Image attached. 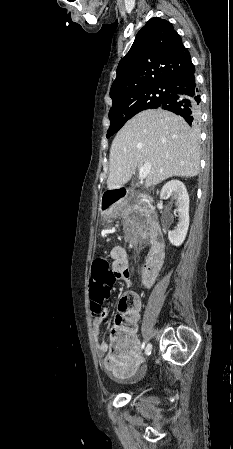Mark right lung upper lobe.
<instances>
[{
  "label": "right lung upper lobe",
  "mask_w": 233,
  "mask_h": 449,
  "mask_svg": "<svg viewBox=\"0 0 233 449\" xmlns=\"http://www.w3.org/2000/svg\"><path fill=\"white\" fill-rule=\"evenodd\" d=\"M194 71L190 53L173 25L151 18L137 33L129 52L117 67L110 97H116L172 80Z\"/></svg>",
  "instance_id": "obj_1"
}]
</instances>
